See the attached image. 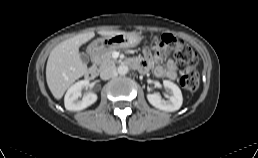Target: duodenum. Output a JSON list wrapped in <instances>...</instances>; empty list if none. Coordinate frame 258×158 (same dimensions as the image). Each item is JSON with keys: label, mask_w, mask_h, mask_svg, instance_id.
<instances>
[{"label": "duodenum", "mask_w": 258, "mask_h": 158, "mask_svg": "<svg viewBox=\"0 0 258 158\" xmlns=\"http://www.w3.org/2000/svg\"><path fill=\"white\" fill-rule=\"evenodd\" d=\"M100 49L101 47L99 45H94L92 46V49H91V58H92V61L94 62L99 54H100ZM126 64L132 68H135V69H140V65L139 63L135 62V61H127ZM98 67L93 63L92 65H90L88 67V69L86 70V78L89 79V80H92V79H95L98 75Z\"/></svg>", "instance_id": "1"}]
</instances>
